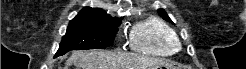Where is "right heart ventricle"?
<instances>
[{"instance_id": "e07e8e85", "label": "right heart ventricle", "mask_w": 246, "mask_h": 69, "mask_svg": "<svg viewBox=\"0 0 246 69\" xmlns=\"http://www.w3.org/2000/svg\"><path fill=\"white\" fill-rule=\"evenodd\" d=\"M129 42L134 51L158 56L171 55L179 48L175 31L157 16L137 23L130 32Z\"/></svg>"}]
</instances>
